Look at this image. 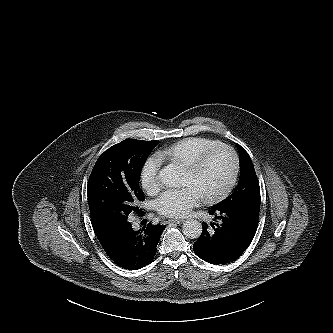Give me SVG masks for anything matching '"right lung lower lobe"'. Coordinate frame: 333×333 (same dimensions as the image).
<instances>
[{"label":"right lung lower lobe","instance_id":"right-lung-lower-lobe-1","mask_svg":"<svg viewBox=\"0 0 333 333\" xmlns=\"http://www.w3.org/2000/svg\"><path fill=\"white\" fill-rule=\"evenodd\" d=\"M165 226L148 224L134 231L131 223L106 225L95 230L97 238L107 255L120 267L140 269L149 264L156 254V246Z\"/></svg>","mask_w":333,"mask_h":333}]
</instances>
